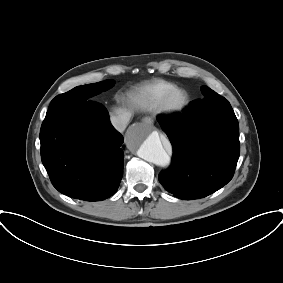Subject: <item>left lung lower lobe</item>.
Segmentation results:
<instances>
[{
	"instance_id": "0a47b994",
	"label": "left lung lower lobe",
	"mask_w": 283,
	"mask_h": 283,
	"mask_svg": "<svg viewBox=\"0 0 283 283\" xmlns=\"http://www.w3.org/2000/svg\"><path fill=\"white\" fill-rule=\"evenodd\" d=\"M233 116L230 103L213 92L193 101L182 114L157 117L173 145L171 165L159 174L168 192L199 199L232 179L240 154L239 131L227 128Z\"/></svg>"
}]
</instances>
